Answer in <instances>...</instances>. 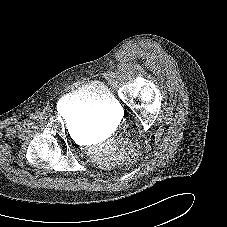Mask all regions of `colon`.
<instances>
[{
    "mask_svg": "<svg viewBox=\"0 0 227 227\" xmlns=\"http://www.w3.org/2000/svg\"><path fill=\"white\" fill-rule=\"evenodd\" d=\"M117 144L125 149L130 162L137 160L140 154V146L138 143L132 141L127 134H121L117 139Z\"/></svg>",
    "mask_w": 227,
    "mask_h": 227,
    "instance_id": "colon-1",
    "label": "colon"
}]
</instances>
